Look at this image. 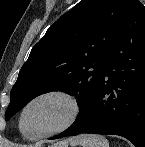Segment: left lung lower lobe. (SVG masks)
<instances>
[{
  "label": "left lung lower lobe",
  "instance_id": "1",
  "mask_svg": "<svg viewBox=\"0 0 145 147\" xmlns=\"http://www.w3.org/2000/svg\"><path fill=\"white\" fill-rule=\"evenodd\" d=\"M119 135L145 147V7L131 0L102 77L79 124L51 138Z\"/></svg>",
  "mask_w": 145,
  "mask_h": 147
}]
</instances>
